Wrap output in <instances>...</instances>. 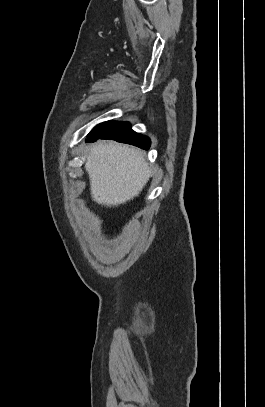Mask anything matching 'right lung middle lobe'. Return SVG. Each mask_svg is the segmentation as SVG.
<instances>
[{"mask_svg":"<svg viewBox=\"0 0 265 407\" xmlns=\"http://www.w3.org/2000/svg\"><path fill=\"white\" fill-rule=\"evenodd\" d=\"M119 122L116 121H107L104 123H101L99 125H97L88 135V137L93 136V135H98L101 133H104L106 131H108L109 129H111L112 127H114L115 125H117Z\"/></svg>","mask_w":265,"mask_h":407,"instance_id":"obj_1","label":"right lung middle lobe"}]
</instances>
